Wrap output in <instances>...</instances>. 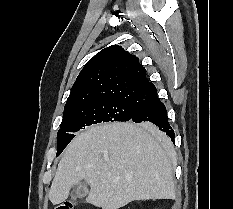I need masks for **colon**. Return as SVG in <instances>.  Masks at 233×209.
<instances>
[{
	"instance_id": "colon-1",
	"label": "colon",
	"mask_w": 233,
	"mask_h": 209,
	"mask_svg": "<svg viewBox=\"0 0 233 209\" xmlns=\"http://www.w3.org/2000/svg\"><path fill=\"white\" fill-rule=\"evenodd\" d=\"M74 204L71 201H65L57 204L54 209H73Z\"/></svg>"
}]
</instances>
